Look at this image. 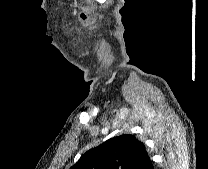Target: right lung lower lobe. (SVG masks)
<instances>
[{
    "instance_id": "obj_1",
    "label": "right lung lower lobe",
    "mask_w": 208,
    "mask_h": 169,
    "mask_svg": "<svg viewBox=\"0 0 208 169\" xmlns=\"http://www.w3.org/2000/svg\"><path fill=\"white\" fill-rule=\"evenodd\" d=\"M148 169H153V165L151 164V166Z\"/></svg>"
}]
</instances>
